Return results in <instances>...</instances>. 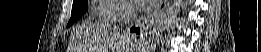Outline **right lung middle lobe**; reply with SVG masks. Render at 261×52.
Returning <instances> with one entry per match:
<instances>
[{
  "label": "right lung middle lobe",
  "mask_w": 261,
  "mask_h": 52,
  "mask_svg": "<svg viewBox=\"0 0 261 52\" xmlns=\"http://www.w3.org/2000/svg\"><path fill=\"white\" fill-rule=\"evenodd\" d=\"M88 9L86 0H76L73 2L71 18L67 27L71 26L80 16H82Z\"/></svg>",
  "instance_id": "1"
}]
</instances>
